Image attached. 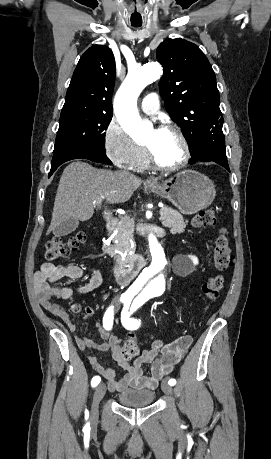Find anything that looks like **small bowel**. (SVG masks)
Segmentation results:
<instances>
[{
	"label": "small bowel",
	"instance_id": "1",
	"mask_svg": "<svg viewBox=\"0 0 271 459\" xmlns=\"http://www.w3.org/2000/svg\"><path fill=\"white\" fill-rule=\"evenodd\" d=\"M83 275L84 270L78 265L59 266L46 263L41 266L34 277V290L40 305L47 312L65 322L72 332L76 330V325L69 319L66 310L58 303L52 302L51 298L55 297L60 300L71 298L74 291L71 288L57 285L56 282L64 278L80 279ZM101 283L102 275L100 271L93 269L90 279L80 286L76 292L81 295L87 294L98 288ZM85 316L93 318L94 312L92 308L87 307L85 309ZM97 327L102 340L101 343H96L81 335H77L75 340L82 350L93 349L108 352L116 365L125 371L124 375L117 379L114 368L104 367L93 356L87 357L90 367L106 380L110 392L123 391L130 387L156 388L159 381L174 369L192 344V337L189 335L180 336L170 343L156 340L151 348L143 350L134 363L129 364L121 357L118 337L108 332L101 324H98ZM146 365L151 366L149 375L144 373Z\"/></svg>",
	"mask_w": 271,
	"mask_h": 459
}]
</instances>
